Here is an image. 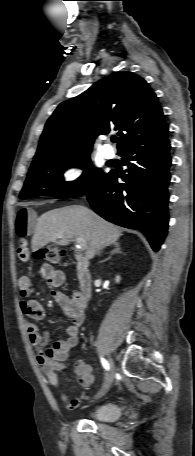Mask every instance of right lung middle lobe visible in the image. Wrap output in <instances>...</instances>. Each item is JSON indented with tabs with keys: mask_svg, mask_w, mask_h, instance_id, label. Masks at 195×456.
I'll return each instance as SVG.
<instances>
[{
	"mask_svg": "<svg viewBox=\"0 0 195 456\" xmlns=\"http://www.w3.org/2000/svg\"><path fill=\"white\" fill-rule=\"evenodd\" d=\"M89 155L67 157L31 166L20 193V199L35 196L76 198L85 195L105 174L98 168H91ZM70 167L88 169L74 182H65L63 172Z\"/></svg>",
	"mask_w": 195,
	"mask_h": 456,
	"instance_id": "obj_1",
	"label": "right lung middle lobe"
}]
</instances>
